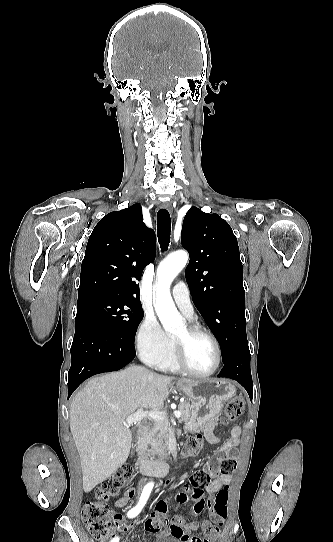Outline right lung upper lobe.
<instances>
[{"label": "right lung upper lobe", "instance_id": "1", "mask_svg": "<svg viewBox=\"0 0 333 542\" xmlns=\"http://www.w3.org/2000/svg\"><path fill=\"white\" fill-rule=\"evenodd\" d=\"M155 253V233L143 222L140 204L107 214L87 243L78 304L93 296L140 304L139 286L133 279L140 280Z\"/></svg>", "mask_w": 333, "mask_h": 542}]
</instances>
